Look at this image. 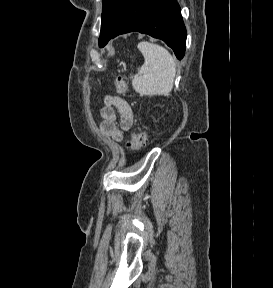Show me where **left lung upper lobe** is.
<instances>
[{
	"label": "left lung upper lobe",
	"mask_w": 273,
	"mask_h": 288,
	"mask_svg": "<svg viewBox=\"0 0 273 288\" xmlns=\"http://www.w3.org/2000/svg\"><path fill=\"white\" fill-rule=\"evenodd\" d=\"M132 0H103L99 46L102 47L112 37L120 19Z\"/></svg>",
	"instance_id": "5c2ea615"
}]
</instances>
